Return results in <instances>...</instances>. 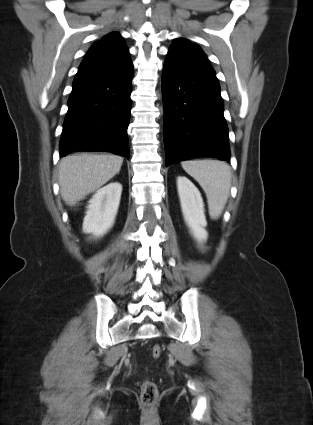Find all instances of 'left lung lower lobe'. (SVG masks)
<instances>
[{
    "instance_id": "left-lung-lower-lobe-1",
    "label": "left lung lower lobe",
    "mask_w": 313,
    "mask_h": 425,
    "mask_svg": "<svg viewBox=\"0 0 313 425\" xmlns=\"http://www.w3.org/2000/svg\"><path fill=\"white\" fill-rule=\"evenodd\" d=\"M162 93L166 166L206 156L229 162L228 127L216 75L167 57Z\"/></svg>"
}]
</instances>
